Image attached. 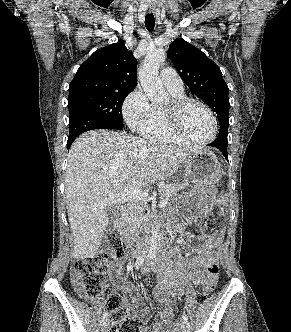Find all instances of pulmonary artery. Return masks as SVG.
<instances>
[{
  "instance_id": "e3ab8cb5",
  "label": "pulmonary artery",
  "mask_w": 291,
  "mask_h": 332,
  "mask_svg": "<svg viewBox=\"0 0 291 332\" xmlns=\"http://www.w3.org/2000/svg\"><path fill=\"white\" fill-rule=\"evenodd\" d=\"M163 85L173 93H183V82L173 68H164L160 73Z\"/></svg>"
}]
</instances>
